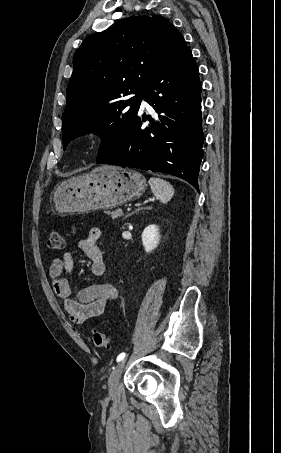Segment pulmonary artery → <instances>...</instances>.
I'll return each mask as SVG.
<instances>
[{"mask_svg": "<svg viewBox=\"0 0 281 453\" xmlns=\"http://www.w3.org/2000/svg\"><path fill=\"white\" fill-rule=\"evenodd\" d=\"M142 105L147 106V103L145 102V100H142Z\"/></svg>", "mask_w": 281, "mask_h": 453, "instance_id": "1", "label": "pulmonary artery"}]
</instances>
